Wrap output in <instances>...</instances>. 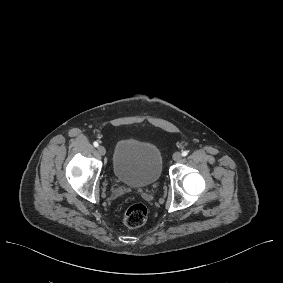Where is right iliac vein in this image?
Segmentation results:
<instances>
[{
  "label": "right iliac vein",
  "mask_w": 283,
  "mask_h": 283,
  "mask_svg": "<svg viewBox=\"0 0 283 283\" xmlns=\"http://www.w3.org/2000/svg\"><path fill=\"white\" fill-rule=\"evenodd\" d=\"M98 152L101 154V155H105L106 154V149L104 146L100 145L98 146L97 148Z\"/></svg>",
  "instance_id": "right-iliac-vein-1"
}]
</instances>
